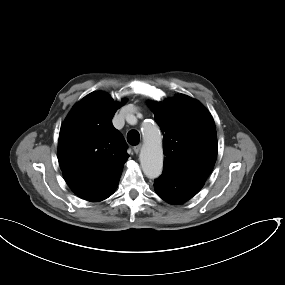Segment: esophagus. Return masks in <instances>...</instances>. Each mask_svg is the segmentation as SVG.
I'll use <instances>...</instances> for the list:
<instances>
[{
	"label": "esophagus",
	"mask_w": 285,
	"mask_h": 285,
	"mask_svg": "<svg viewBox=\"0 0 285 285\" xmlns=\"http://www.w3.org/2000/svg\"><path fill=\"white\" fill-rule=\"evenodd\" d=\"M133 150H134V152H135L136 154H138V153L140 152V150H141V145L139 144V145L134 146V147H133Z\"/></svg>",
	"instance_id": "34e87169"
}]
</instances>
